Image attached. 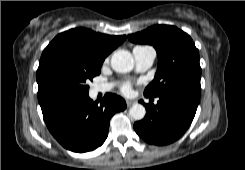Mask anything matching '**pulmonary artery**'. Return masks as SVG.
<instances>
[{
	"label": "pulmonary artery",
	"instance_id": "pulmonary-artery-1",
	"mask_svg": "<svg viewBox=\"0 0 245 170\" xmlns=\"http://www.w3.org/2000/svg\"><path fill=\"white\" fill-rule=\"evenodd\" d=\"M133 55L136 61V68L142 72L150 68L155 59V51L149 46H137L133 49ZM112 88L111 84L96 86V90L106 92Z\"/></svg>",
	"mask_w": 245,
	"mask_h": 170
}]
</instances>
